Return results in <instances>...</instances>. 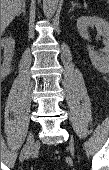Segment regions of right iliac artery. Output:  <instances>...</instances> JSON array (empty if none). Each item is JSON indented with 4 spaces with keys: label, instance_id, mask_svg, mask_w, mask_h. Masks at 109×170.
I'll list each match as a JSON object with an SVG mask.
<instances>
[{
    "label": "right iliac artery",
    "instance_id": "right-iliac-artery-1",
    "mask_svg": "<svg viewBox=\"0 0 109 170\" xmlns=\"http://www.w3.org/2000/svg\"><path fill=\"white\" fill-rule=\"evenodd\" d=\"M24 158H25V147H24L23 150L21 151L20 160L22 161Z\"/></svg>",
    "mask_w": 109,
    "mask_h": 170
}]
</instances>
